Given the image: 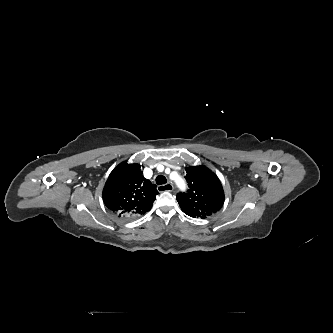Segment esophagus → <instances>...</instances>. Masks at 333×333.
<instances>
[{
	"label": "esophagus",
	"mask_w": 333,
	"mask_h": 333,
	"mask_svg": "<svg viewBox=\"0 0 333 333\" xmlns=\"http://www.w3.org/2000/svg\"><path fill=\"white\" fill-rule=\"evenodd\" d=\"M174 186L171 183H167L166 185L158 186L159 191H173Z\"/></svg>",
	"instance_id": "1"
}]
</instances>
